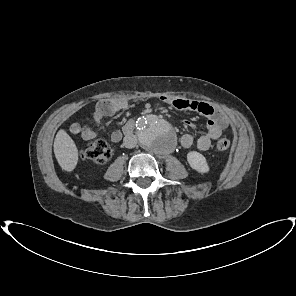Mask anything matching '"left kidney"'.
<instances>
[{
	"instance_id": "left-kidney-1",
	"label": "left kidney",
	"mask_w": 296,
	"mask_h": 296,
	"mask_svg": "<svg viewBox=\"0 0 296 296\" xmlns=\"http://www.w3.org/2000/svg\"><path fill=\"white\" fill-rule=\"evenodd\" d=\"M187 161L190 167L199 173L209 172V166L207 164L206 158L197 151H190L187 154Z\"/></svg>"
}]
</instances>
